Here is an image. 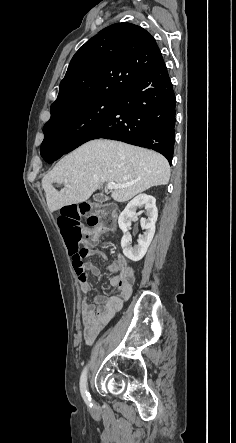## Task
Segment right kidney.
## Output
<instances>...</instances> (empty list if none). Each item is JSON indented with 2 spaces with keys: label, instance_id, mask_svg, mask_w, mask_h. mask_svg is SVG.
Wrapping results in <instances>:
<instances>
[{
  "label": "right kidney",
  "instance_id": "ca27d5eb",
  "mask_svg": "<svg viewBox=\"0 0 236 443\" xmlns=\"http://www.w3.org/2000/svg\"><path fill=\"white\" fill-rule=\"evenodd\" d=\"M146 211L147 218H141L140 224L144 231L142 235H139L137 240L138 244L132 246L131 235L128 232L131 226V220L137 218L136 210L143 208ZM158 217V210L156 207V199L147 194H139L133 200H131L123 212L120 214L118 224L123 231V237L121 239V247L123 254L131 261L141 260L147 252V249L153 239L155 233V223Z\"/></svg>",
  "mask_w": 236,
  "mask_h": 443
}]
</instances>
